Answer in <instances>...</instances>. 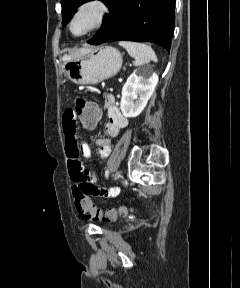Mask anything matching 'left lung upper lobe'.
Wrapping results in <instances>:
<instances>
[{"instance_id": "5c2ea615", "label": "left lung upper lobe", "mask_w": 240, "mask_h": 288, "mask_svg": "<svg viewBox=\"0 0 240 288\" xmlns=\"http://www.w3.org/2000/svg\"><path fill=\"white\" fill-rule=\"evenodd\" d=\"M88 1L90 0H61L62 25L63 26L66 25L67 22L73 17V14L77 7ZM101 1L104 2L108 8H110L112 0H101Z\"/></svg>"}]
</instances>
